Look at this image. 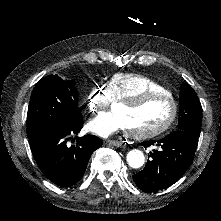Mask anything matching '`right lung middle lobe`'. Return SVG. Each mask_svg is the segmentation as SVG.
<instances>
[{"label":"right lung middle lobe","instance_id":"right-lung-middle-lobe-1","mask_svg":"<svg viewBox=\"0 0 221 221\" xmlns=\"http://www.w3.org/2000/svg\"><path fill=\"white\" fill-rule=\"evenodd\" d=\"M73 80L57 75L42 78L34 87L27 114V136L49 130L69 128L83 120Z\"/></svg>","mask_w":221,"mask_h":221}]
</instances>
